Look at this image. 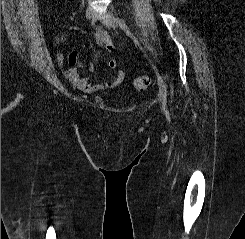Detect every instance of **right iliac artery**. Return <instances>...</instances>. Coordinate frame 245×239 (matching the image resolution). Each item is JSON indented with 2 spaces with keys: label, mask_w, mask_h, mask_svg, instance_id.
Listing matches in <instances>:
<instances>
[{
  "label": "right iliac artery",
  "mask_w": 245,
  "mask_h": 239,
  "mask_svg": "<svg viewBox=\"0 0 245 239\" xmlns=\"http://www.w3.org/2000/svg\"><path fill=\"white\" fill-rule=\"evenodd\" d=\"M96 23V18H93L92 21H91V26H94Z\"/></svg>",
  "instance_id": "1"
}]
</instances>
